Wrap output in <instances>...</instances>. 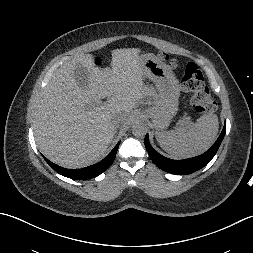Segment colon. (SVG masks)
Returning a JSON list of instances; mask_svg holds the SVG:
<instances>
[{"label":"colon","mask_w":253,"mask_h":253,"mask_svg":"<svg viewBox=\"0 0 253 253\" xmlns=\"http://www.w3.org/2000/svg\"><path fill=\"white\" fill-rule=\"evenodd\" d=\"M160 57L170 66H176V61L165 53H161ZM181 85L186 92L191 94V104L196 112L206 114L217 109V102L205 84L201 69L195 63L191 62L186 65Z\"/></svg>","instance_id":"obj_1"}]
</instances>
